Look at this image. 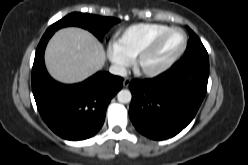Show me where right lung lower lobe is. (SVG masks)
Masks as SVG:
<instances>
[{
	"instance_id": "obj_1",
	"label": "right lung lower lobe",
	"mask_w": 248,
	"mask_h": 165,
	"mask_svg": "<svg viewBox=\"0 0 248 165\" xmlns=\"http://www.w3.org/2000/svg\"><path fill=\"white\" fill-rule=\"evenodd\" d=\"M54 32L45 33L32 68V91L38 111L60 137L77 141L95 135L102 127L111 99L122 88L123 78L98 72L82 83L64 85L53 80L44 64V51Z\"/></svg>"
}]
</instances>
